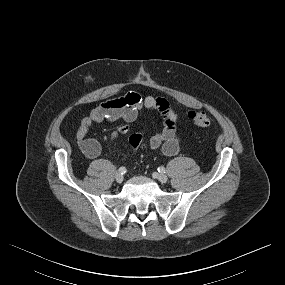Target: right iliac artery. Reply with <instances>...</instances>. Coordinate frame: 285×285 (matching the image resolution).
<instances>
[{"label": "right iliac artery", "instance_id": "obj_1", "mask_svg": "<svg viewBox=\"0 0 285 285\" xmlns=\"http://www.w3.org/2000/svg\"><path fill=\"white\" fill-rule=\"evenodd\" d=\"M118 171H119L120 174L123 175L124 173H126V168L125 167H120Z\"/></svg>", "mask_w": 285, "mask_h": 285}]
</instances>
